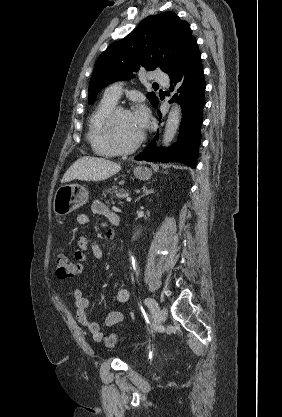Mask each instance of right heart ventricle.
Returning a JSON list of instances; mask_svg holds the SVG:
<instances>
[{"label":"right heart ventricle","mask_w":282,"mask_h":417,"mask_svg":"<svg viewBox=\"0 0 282 417\" xmlns=\"http://www.w3.org/2000/svg\"><path fill=\"white\" fill-rule=\"evenodd\" d=\"M116 107V102L106 99L100 101L89 122L88 139L93 149L101 155H112L115 151L107 144L105 137L99 131V124L106 115Z\"/></svg>","instance_id":"e07e8e85"}]
</instances>
